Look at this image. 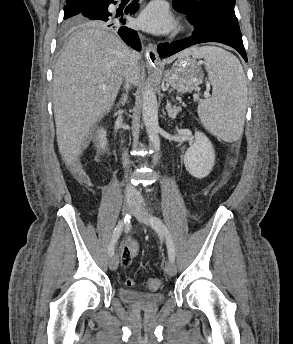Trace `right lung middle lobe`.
Here are the masks:
<instances>
[{"label": "right lung middle lobe", "instance_id": "1", "mask_svg": "<svg viewBox=\"0 0 293 344\" xmlns=\"http://www.w3.org/2000/svg\"><path fill=\"white\" fill-rule=\"evenodd\" d=\"M92 1H86L71 5H66L64 7V30L69 31L73 28H78L82 26H94L97 23H92L90 20L82 17L80 13L88 6Z\"/></svg>", "mask_w": 293, "mask_h": 344}]
</instances>
